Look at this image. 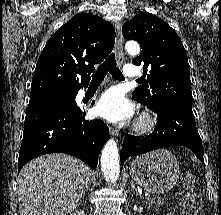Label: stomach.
<instances>
[{
    "label": "stomach",
    "mask_w": 221,
    "mask_h": 215,
    "mask_svg": "<svg viewBox=\"0 0 221 215\" xmlns=\"http://www.w3.org/2000/svg\"><path fill=\"white\" fill-rule=\"evenodd\" d=\"M130 175L144 190L163 193L176 184L179 178V163L166 149H158L132 160Z\"/></svg>",
    "instance_id": "stomach-1"
}]
</instances>
